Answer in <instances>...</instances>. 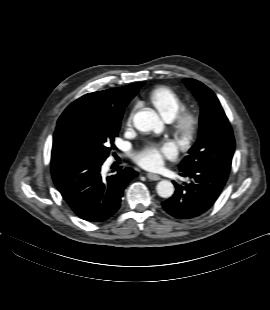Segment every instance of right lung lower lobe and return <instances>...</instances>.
I'll return each mask as SVG.
<instances>
[{
    "label": "right lung lower lobe",
    "instance_id": "1",
    "mask_svg": "<svg viewBox=\"0 0 270 310\" xmlns=\"http://www.w3.org/2000/svg\"><path fill=\"white\" fill-rule=\"evenodd\" d=\"M79 158L51 160L54 183L73 212L89 222H104L118 210L126 185L138 174L119 168L117 174L102 178L101 165Z\"/></svg>",
    "mask_w": 270,
    "mask_h": 310
}]
</instances>
